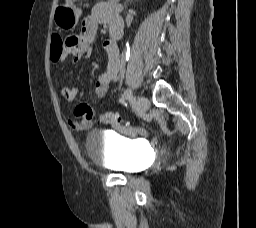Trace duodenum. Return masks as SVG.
<instances>
[{"instance_id":"410a0bca","label":"duodenum","mask_w":256,"mask_h":228,"mask_svg":"<svg viewBox=\"0 0 256 228\" xmlns=\"http://www.w3.org/2000/svg\"><path fill=\"white\" fill-rule=\"evenodd\" d=\"M110 35L114 39H120L123 35V24L113 25L110 29Z\"/></svg>"}]
</instances>
